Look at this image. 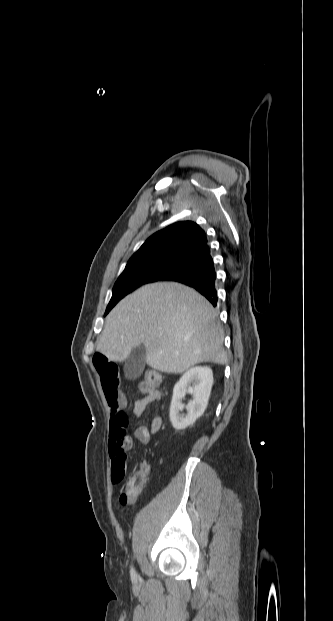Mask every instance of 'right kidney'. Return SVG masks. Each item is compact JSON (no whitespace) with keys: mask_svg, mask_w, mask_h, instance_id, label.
Segmentation results:
<instances>
[{"mask_svg":"<svg viewBox=\"0 0 333 621\" xmlns=\"http://www.w3.org/2000/svg\"><path fill=\"white\" fill-rule=\"evenodd\" d=\"M213 384V372L209 367H193L183 374L175 384L170 406V421L177 430H183L200 417L208 404ZM186 393L193 395L192 401L186 406L187 414H181L182 402Z\"/></svg>","mask_w":333,"mask_h":621,"instance_id":"obj_1","label":"right kidney"}]
</instances>
